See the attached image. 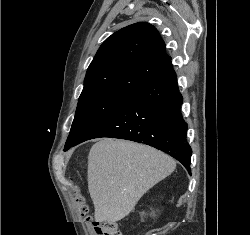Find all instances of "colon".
Segmentation results:
<instances>
[{"instance_id":"1","label":"colon","mask_w":250,"mask_h":235,"mask_svg":"<svg viewBox=\"0 0 250 235\" xmlns=\"http://www.w3.org/2000/svg\"><path fill=\"white\" fill-rule=\"evenodd\" d=\"M75 202L78 206L80 214L85 217L89 218L88 215V207L84 202L82 196L78 193L74 195ZM95 232L97 235H122L119 229V225L115 221H95L93 222Z\"/></svg>"}]
</instances>
